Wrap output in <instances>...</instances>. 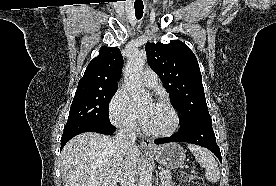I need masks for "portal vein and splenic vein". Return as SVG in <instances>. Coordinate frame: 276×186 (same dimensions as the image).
Instances as JSON below:
<instances>
[{"label": "portal vein and splenic vein", "mask_w": 276, "mask_h": 186, "mask_svg": "<svg viewBox=\"0 0 276 186\" xmlns=\"http://www.w3.org/2000/svg\"><path fill=\"white\" fill-rule=\"evenodd\" d=\"M166 175L165 171H160L159 172V177L163 178Z\"/></svg>", "instance_id": "obj_1"}]
</instances>
